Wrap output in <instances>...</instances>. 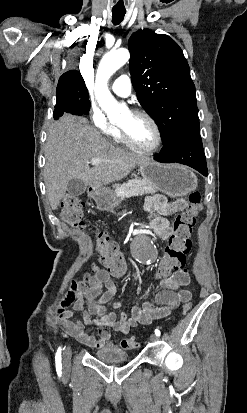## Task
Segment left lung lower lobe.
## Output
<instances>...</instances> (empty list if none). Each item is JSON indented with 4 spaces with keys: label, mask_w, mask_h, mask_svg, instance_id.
Masks as SVG:
<instances>
[{
    "label": "left lung lower lobe",
    "mask_w": 247,
    "mask_h": 413,
    "mask_svg": "<svg viewBox=\"0 0 247 413\" xmlns=\"http://www.w3.org/2000/svg\"><path fill=\"white\" fill-rule=\"evenodd\" d=\"M154 159L160 163L188 165L204 176L208 175L206 158L200 134L183 133L170 138Z\"/></svg>",
    "instance_id": "0a47b994"
}]
</instances>
